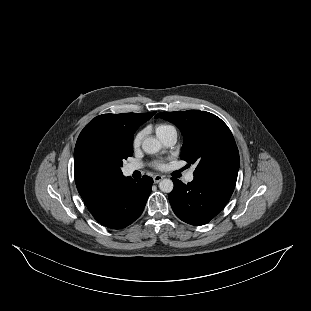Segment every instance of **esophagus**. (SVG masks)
Returning a JSON list of instances; mask_svg holds the SVG:
<instances>
[{"label":"esophagus","mask_w":311,"mask_h":311,"mask_svg":"<svg viewBox=\"0 0 311 311\" xmlns=\"http://www.w3.org/2000/svg\"><path fill=\"white\" fill-rule=\"evenodd\" d=\"M163 178H164V176H162V175H155L153 177L154 183H156V184L159 183Z\"/></svg>","instance_id":"34e87169"}]
</instances>
